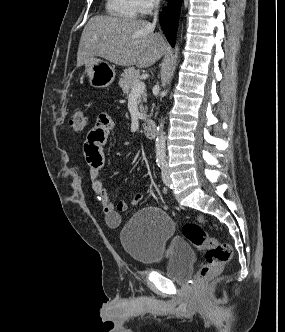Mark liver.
Segmentation results:
<instances>
[{
	"label": "liver",
	"instance_id": "liver-1",
	"mask_svg": "<svg viewBox=\"0 0 285 332\" xmlns=\"http://www.w3.org/2000/svg\"><path fill=\"white\" fill-rule=\"evenodd\" d=\"M154 29V24L141 19L94 16L82 32L77 66L99 56L120 66L149 67L166 49L163 36Z\"/></svg>",
	"mask_w": 285,
	"mask_h": 332
}]
</instances>
